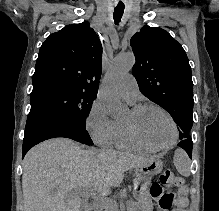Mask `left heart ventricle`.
I'll list each match as a JSON object with an SVG mask.
<instances>
[{"instance_id":"1","label":"left heart ventricle","mask_w":219,"mask_h":211,"mask_svg":"<svg viewBox=\"0 0 219 211\" xmlns=\"http://www.w3.org/2000/svg\"><path fill=\"white\" fill-rule=\"evenodd\" d=\"M125 120L133 121L144 139L153 145L165 146L173 140L171 122L158 109L147 108L138 113L129 111Z\"/></svg>"}]
</instances>
